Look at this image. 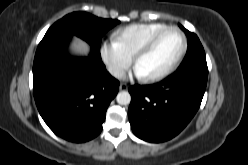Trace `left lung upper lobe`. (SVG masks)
I'll list each match as a JSON object with an SVG mask.
<instances>
[{
    "label": "left lung upper lobe",
    "instance_id": "1",
    "mask_svg": "<svg viewBox=\"0 0 248 165\" xmlns=\"http://www.w3.org/2000/svg\"><path fill=\"white\" fill-rule=\"evenodd\" d=\"M179 27L185 32L188 39L187 53L183 63L181 64V67L197 59H206L205 51L197 35L188 31L180 24Z\"/></svg>",
    "mask_w": 248,
    "mask_h": 165
}]
</instances>
